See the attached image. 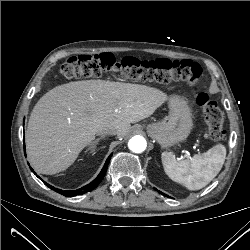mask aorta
<instances>
[{
    "label": "aorta",
    "instance_id": "aorta-1",
    "mask_svg": "<svg viewBox=\"0 0 250 250\" xmlns=\"http://www.w3.org/2000/svg\"><path fill=\"white\" fill-rule=\"evenodd\" d=\"M128 147L134 153H141L146 149L147 143L144 137L137 135L129 140Z\"/></svg>",
    "mask_w": 250,
    "mask_h": 250
}]
</instances>
